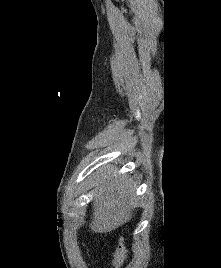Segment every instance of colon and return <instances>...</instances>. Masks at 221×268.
Masks as SVG:
<instances>
[{
    "instance_id": "obj_1",
    "label": "colon",
    "mask_w": 221,
    "mask_h": 268,
    "mask_svg": "<svg viewBox=\"0 0 221 268\" xmlns=\"http://www.w3.org/2000/svg\"><path fill=\"white\" fill-rule=\"evenodd\" d=\"M125 255H126L125 246L123 244H120L114 254L115 265H120L123 262Z\"/></svg>"
}]
</instances>
